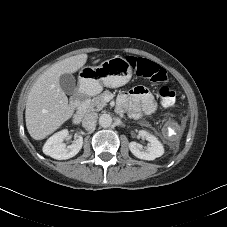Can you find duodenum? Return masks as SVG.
I'll return each instance as SVG.
<instances>
[{"label": "duodenum", "instance_id": "410a0bca", "mask_svg": "<svg viewBox=\"0 0 227 227\" xmlns=\"http://www.w3.org/2000/svg\"><path fill=\"white\" fill-rule=\"evenodd\" d=\"M74 105L77 107V111L72 118V122L75 125L80 124L88 108V99L83 92H79L74 96Z\"/></svg>", "mask_w": 227, "mask_h": 227}]
</instances>
